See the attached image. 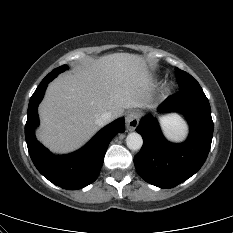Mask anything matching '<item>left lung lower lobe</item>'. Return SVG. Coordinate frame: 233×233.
I'll return each instance as SVG.
<instances>
[{"label":"left lung lower lobe","instance_id":"left-lung-lower-lobe-1","mask_svg":"<svg viewBox=\"0 0 233 233\" xmlns=\"http://www.w3.org/2000/svg\"><path fill=\"white\" fill-rule=\"evenodd\" d=\"M158 110L184 113L190 126L189 137L181 144L170 143L157 120L147 116L136 128L143 137V146L135 155L134 164L146 182L168 189L190 178L204 164L211 147L213 121L203 90H180L169 96Z\"/></svg>","mask_w":233,"mask_h":233}]
</instances>
